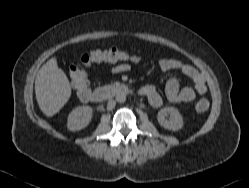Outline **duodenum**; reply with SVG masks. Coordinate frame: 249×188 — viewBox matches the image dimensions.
Masks as SVG:
<instances>
[{"instance_id": "1", "label": "duodenum", "mask_w": 249, "mask_h": 188, "mask_svg": "<svg viewBox=\"0 0 249 188\" xmlns=\"http://www.w3.org/2000/svg\"><path fill=\"white\" fill-rule=\"evenodd\" d=\"M131 89L124 84L107 85L94 89L89 93L88 99L99 103L121 94H129Z\"/></svg>"}]
</instances>
